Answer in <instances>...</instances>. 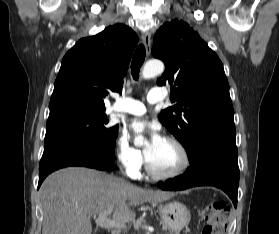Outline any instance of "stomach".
Masks as SVG:
<instances>
[{"label":"stomach","instance_id":"stomach-1","mask_svg":"<svg viewBox=\"0 0 279 234\" xmlns=\"http://www.w3.org/2000/svg\"><path fill=\"white\" fill-rule=\"evenodd\" d=\"M162 222L175 233L181 231L191 219L190 211L179 202H171L158 206Z\"/></svg>","mask_w":279,"mask_h":234}]
</instances>
